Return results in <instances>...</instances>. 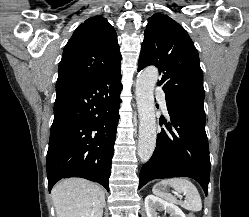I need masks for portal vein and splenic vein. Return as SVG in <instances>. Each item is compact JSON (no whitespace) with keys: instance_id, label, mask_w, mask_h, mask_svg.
Instances as JSON below:
<instances>
[{"instance_id":"obj_1","label":"portal vein and splenic vein","mask_w":249,"mask_h":217,"mask_svg":"<svg viewBox=\"0 0 249 217\" xmlns=\"http://www.w3.org/2000/svg\"><path fill=\"white\" fill-rule=\"evenodd\" d=\"M180 198H182V196L181 195H178Z\"/></svg>"}]
</instances>
